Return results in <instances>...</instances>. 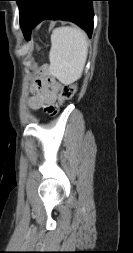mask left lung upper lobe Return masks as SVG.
Returning <instances> with one entry per match:
<instances>
[{
  "instance_id": "obj_1",
  "label": "left lung upper lobe",
  "mask_w": 133,
  "mask_h": 253,
  "mask_svg": "<svg viewBox=\"0 0 133 253\" xmlns=\"http://www.w3.org/2000/svg\"><path fill=\"white\" fill-rule=\"evenodd\" d=\"M18 3V6L20 7L21 3L23 2V0H14Z\"/></svg>"
}]
</instances>
